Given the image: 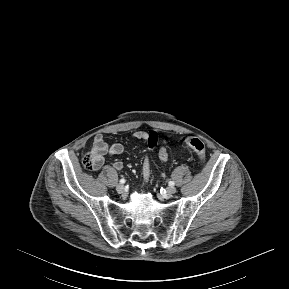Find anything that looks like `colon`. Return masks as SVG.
I'll use <instances>...</instances> for the list:
<instances>
[{
  "label": "colon",
  "mask_w": 289,
  "mask_h": 289,
  "mask_svg": "<svg viewBox=\"0 0 289 289\" xmlns=\"http://www.w3.org/2000/svg\"><path fill=\"white\" fill-rule=\"evenodd\" d=\"M182 140L188 147H190L195 151L200 160V163L203 164L205 160V146L203 142L199 138L193 136L183 137ZM167 142L168 138H165L163 143L159 146L158 149V157L161 161L168 160V151L165 146ZM147 145L149 151L157 147L158 134L155 131L149 133ZM82 164L88 170L95 169L96 159L94 155L90 153L85 154L82 158ZM150 173H151V158L149 155H146L142 163V176L145 182L149 180Z\"/></svg>",
  "instance_id": "colon-1"
}]
</instances>
